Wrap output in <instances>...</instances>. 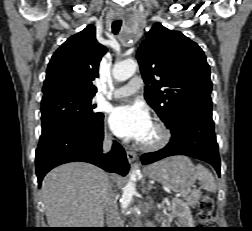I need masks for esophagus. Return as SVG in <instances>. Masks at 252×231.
<instances>
[{
	"label": "esophagus",
	"mask_w": 252,
	"mask_h": 231,
	"mask_svg": "<svg viewBox=\"0 0 252 231\" xmlns=\"http://www.w3.org/2000/svg\"><path fill=\"white\" fill-rule=\"evenodd\" d=\"M122 16H123V13H122V12H118V13L116 14V18H117V19L122 18ZM126 156H127V160H128L130 163L133 162V161H135V160L137 159V154H136L134 151H129V150H127V151H126Z\"/></svg>",
	"instance_id": "esophagus-1"
}]
</instances>
